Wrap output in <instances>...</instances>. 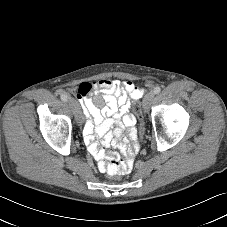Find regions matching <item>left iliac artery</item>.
Returning a JSON list of instances; mask_svg holds the SVG:
<instances>
[{
	"instance_id": "1",
	"label": "left iliac artery",
	"mask_w": 227,
	"mask_h": 227,
	"mask_svg": "<svg viewBox=\"0 0 227 227\" xmlns=\"http://www.w3.org/2000/svg\"><path fill=\"white\" fill-rule=\"evenodd\" d=\"M161 92V87L157 86L154 88V93L159 94Z\"/></svg>"
}]
</instances>
